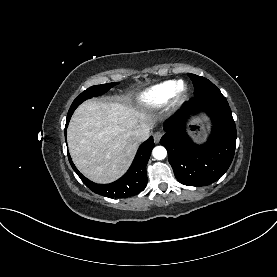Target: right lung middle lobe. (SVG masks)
Returning <instances> with one entry per match:
<instances>
[{
	"mask_svg": "<svg viewBox=\"0 0 277 277\" xmlns=\"http://www.w3.org/2000/svg\"><path fill=\"white\" fill-rule=\"evenodd\" d=\"M118 83H108L103 85H95L88 89H86L84 92H82L72 103L68 115H67V121L70 120L74 110L86 99L100 96L104 93H106L110 88H112L114 85Z\"/></svg>",
	"mask_w": 277,
	"mask_h": 277,
	"instance_id": "right-lung-middle-lobe-1",
	"label": "right lung middle lobe"
}]
</instances>
